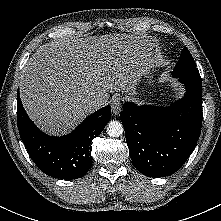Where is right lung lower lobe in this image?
Here are the masks:
<instances>
[{"label": "right lung lower lobe", "instance_id": "1", "mask_svg": "<svg viewBox=\"0 0 221 221\" xmlns=\"http://www.w3.org/2000/svg\"><path fill=\"white\" fill-rule=\"evenodd\" d=\"M110 116L108 105L87 117L70 134L53 137L34 125L19 93L17 96L18 129L28 154L41 171L58 179H77L86 174L92 166L91 142L104 129Z\"/></svg>", "mask_w": 221, "mask_h": 221}]
</instances>
